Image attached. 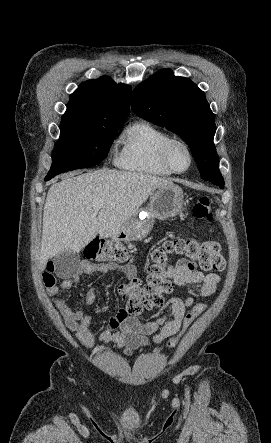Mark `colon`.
<instances>
[{"label": "colon", "mask_w": 271, "mask_h": 443, "mask_svg": "<svg viewBox=\"0 0 271 443\" xmlns=\"http://www.w3.org/2000/svg\"><path fill=\"white\" fill-rule=\"evenodd\" d=\"M192 215L200 220L211 221V201L207 196H200L192 207ZM172 254L183 255L197 263L201 269L222 271L225 259L221 254L220 245L216 241H197L185 237L168 239L154 248L151 252V262L148 265V276L144 284L134 278L119 286V293L126 299L127 311L131 315L138 314L144 309L160 307L163 295L172 288L166 263ZM85 256L90 260L115 262L129 265L132 262L131 251L119 243L107 242L103 239L92 240L85 249ZM47 288L55 285L56 280L52 267L43 274ZM206 308L205 303L196 304L183 318L180 335L191 322ZM178 337L169 340L168 345L174 347Z\"/></svg>", "instance_id": "1"}]
</instances>
